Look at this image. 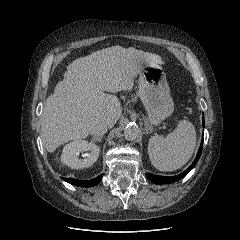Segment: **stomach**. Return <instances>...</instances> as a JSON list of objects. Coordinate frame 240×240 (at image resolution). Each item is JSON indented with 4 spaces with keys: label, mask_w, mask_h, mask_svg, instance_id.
<instances>
[{
    "label": "stomach",
    "mask_w": 240,
    "mask_h": 240,
    "mask_svg": "<svg viewBox=\"0 0 240 240\" xmlns=\"http://www.w3.org/2000/svg\"><path fill=\"white\" fill-rule=\"evenodd\" d=\"M139 96L152 125L159 124L174 110L166 74L158 64H142L139 73Z\"/></svg>",
    "instance_id": "0dacf381"
}]
</instances>
